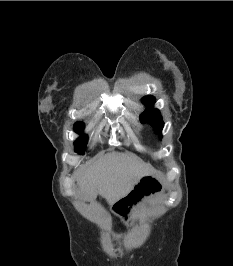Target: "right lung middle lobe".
<instances>
[{
  "label": "right lung middle lobe",
  "mask_w": 233,
  "mask_h": 266,
  "mask_svg": "<svg viewBox=\"0 0 233 266\" xmlns=\"http://www.w3.org/2000/svg\"><path fill=\"white\" fill-rule=\"evenodd\" d=\"M84 123L83 122H78L74 125V130L75 132L82 134L83 130H84ZM87 144V136L86 135H82L80 136L76 142H75V146H76V152L78 153H84L85 150V145Z\"/></svg>",
  "instance_id": "right-lung-middle-lobe-1"
}]
</instances>
